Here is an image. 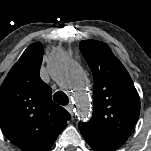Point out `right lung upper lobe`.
Returning <instances> with one entry per match:
<instances>
[{"label": "right lung upper lobe", "mask_w": 151, "mask_h": 151, "mask_svg": "<svg viewBox=\"0 0 151 151\" xmlns=\"http://www.w3.org/2000/svg\"><path fill=\"white\" fill-rule=\"evenodd\" d=\"M42 59V44H31L0 87V127L23 151H48L71 118L40 78Z\"/></svg>", "instance_id": "1"}]
</instances>
